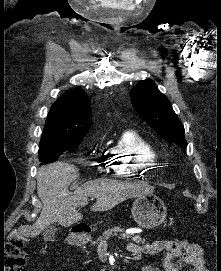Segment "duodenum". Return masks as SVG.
Returning a JSON list of instances; mask_svg holds the SVG:
<instances>
[{
  "label": "duodenum",
  "instance_id": "duodenum-1",
  "mask_svg": "<svg viewBox=\"0 0 221 271\" xmlns=\"http://www.w3.org/2000/svg\"><path fill=\"white\" fill-rule=\"evenodd\" d=\"M89 232L87 230H73L70 236V243L74 246H81L88 242ZM103 271H113L112 269H105Z\"/></svg>",
  "mask_w": 221,
  "mask_h": 271
}]
</instances>
